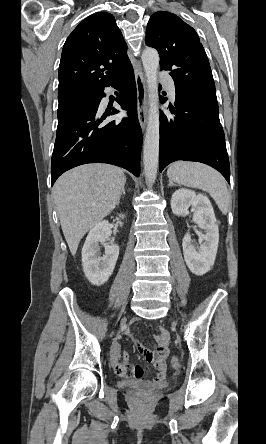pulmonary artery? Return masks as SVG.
Instances as JSON below:
<instances>
[{"instance_id":"pulmonary-artery-1","label":"pulmonary artery","mask_w":266,"mask_h":444,"mask_svg":"<svg viewBox=\"0 0 266 444\" xmlns=\"http://www.w3.org/2000/svg\"><path fill=\"white\" fill-rule=\"evenodd\" d=\"M162 81L169 93V95L174 98L175 97V86H174V81L171 77L169 76H162Z\"/></svg>"}]
</instances>
